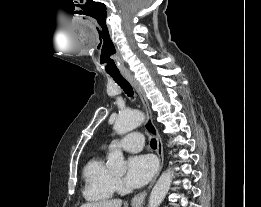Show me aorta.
I'll list each match as a JSON object with an SVG mask.
<instances>
[{"mask_svg":"<svg viewBox=\"0 0 261 207\" xmlns=\"http://www.w3.org/2000/svg\"><path fill=\"white\" fill-rule=\"evenodd\" d=\"M145 120V115L141 111L121 112L115 121L113 129L119 135L126 134L140 126ZM125 160L120 150H115L108 155L107 166L114 170L125 169ZM173 171L167 169L161 174L153 187L148 207H158L164 200L172 181Z\"/></svg>","mask_w":261,"mask_h":207,"instance_id":"aorta-1","label":"aorta"}]
</instances>
